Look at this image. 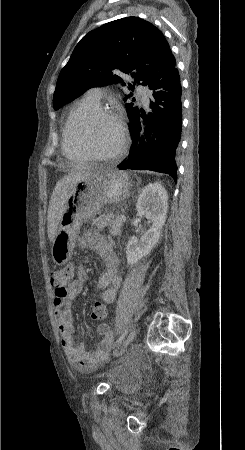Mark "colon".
I'll list each match as a JSON object with an SVG mask.
<instances>
[{"label":"colon","instance_id":"obj_1","mask_svg":"<svg viewBox=\"0 0 245 450\" xmlns=\"http://www.w3.org/2000/svg\"><path fill=\"white\" fill-rule=\"evenodd\" d=\"M66 273H69V271H67ZM61 289L62 293H65V287H63V285H61ZM90 316L94 321L97 322L103 323L107 321L108 312L105 304L102 302H95L91 307Z\"/></svg>","mask_w":245,"mask_h":450}]
</instances>
